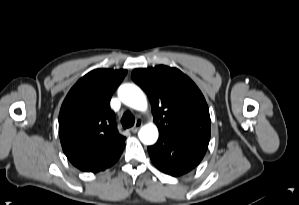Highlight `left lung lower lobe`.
<instances>
[{
    "mask_svg": "<svg viewBox=\"0 0 299 205\" xmlns=\"http://www.w3.org/2000/svg\"><path fill=\"white\" fill-rule=\"evenodd\" d=\"M208 144L209 141L196 138L160 136L155 145L148 147V151L157 169L177 177L189 172L200 163Z\"/></svg>",
    "mask_w": 299,
    "mask_h": 205,
    "instance_id": "left-lung-lower-lobe-1",
    "label": "left lung lower lobe"
}]
</instances>
